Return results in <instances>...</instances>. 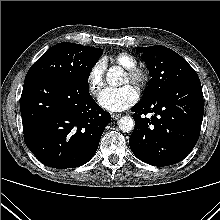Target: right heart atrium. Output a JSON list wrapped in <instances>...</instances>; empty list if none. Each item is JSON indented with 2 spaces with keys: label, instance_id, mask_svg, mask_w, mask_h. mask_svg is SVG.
Wrapping results in <instances>:
<instances>
[{
  "label": "right heart atrium",
  "instance_id": "1",
  "mask_svg": "<svg viewBox=\"0 0 220 220\" xmlns=\"http://www.w3.org/2000/svg\"><path fill=\"white\" fill-rule=\"evenodd\" d=\"M107 64L105 59L95 61L87 74L88 88L91 94L97 95L105 84V73Z\"/></svg>",
  "mask_w": 220,
  "mask_h": 220
}]
</instances>
